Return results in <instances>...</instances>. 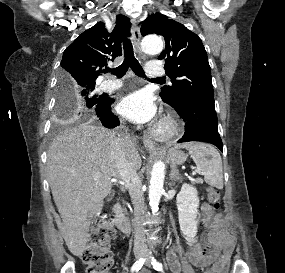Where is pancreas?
<instances>
[{"instance_id": "cf45deb5", "label": "pancreas", "mask_w": 285, "mask_h": 273, "mask_svg": "<svg viewBox=\"0 0 285 273\" xmlns=\"http://www.w3.org/2000/svg\"><path fill=\"white\" fill-rule=\"evenodd\" d=\"M202 184L203 183V180L201 178H198L196 180L193 181V184Z\"/></svg>"}]
</instances>
